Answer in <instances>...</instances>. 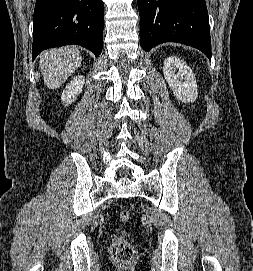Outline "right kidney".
Returning a JSON list of instances; mask_svg holds the SVG:
<instances>
[{"instance_id":"ca27d5eb","label":"right kidney","mask_w":253,"mask_h":271,"mask_svg":"<svg viewBox=\"0 0 253 271\" xmlns=\"http://www.w3.org/2000/svg\"><path fill=\"white\" fill-rule=\"evenodd\" d=\"M85 78L82 75L74 77L70 83H68L61 95V101L65 105H69L77 99V96L82 91Z\"/></svg>"}]
</instances>
